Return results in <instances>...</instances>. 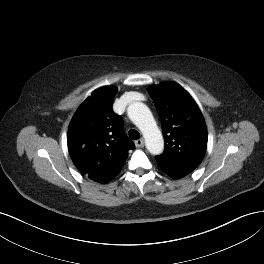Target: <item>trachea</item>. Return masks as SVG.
I'll use <instances>...</instances> for the list:
<instances>
[{"instance_id":"3493384b","label":"trachea","mask_w":264,"mask_h":264,"mask_svg":"<svg viewBox=\"0 0 264 264\" xmlns=\"http://www.w3.org/2000/svg\"><path fill=\"white\" fill-rule=\"evenodd\" d=\"M128 134H129L130 139L132 140H137L140 138L139 132L135 129H130Z\"/></svg>"}]
</instances>
